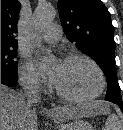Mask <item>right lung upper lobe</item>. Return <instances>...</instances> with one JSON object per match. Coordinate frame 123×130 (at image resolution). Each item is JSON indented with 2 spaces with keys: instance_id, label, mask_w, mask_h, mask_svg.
<instances>
[{
  "instance_id": "cb5924a9",
  "label": "right lung upper lobe",
  "mask_w": 123,
  "mask_h": 130,
  "mask_svg": "<svg viewBox=\"0 0 123 130\" xmlns=\"http://www.w3.org/2000/svg\"><path fill=\"white\" fill-rule=\"evenodd\" d=\"M20 8L18 0H1V46L18 47L15 34Z\"/></svg>"
}]
</instances>
